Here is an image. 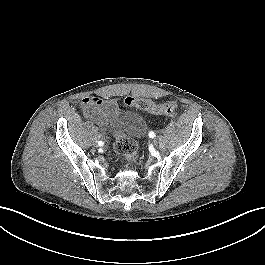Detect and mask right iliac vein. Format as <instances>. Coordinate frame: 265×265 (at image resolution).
<instances>
[{"label": "right iliac vein", "instance_id": "63e3f726", "mask_svg": "<svg viewBox=\"0 0 265 265\" xmlns=\"http://www.w3.org/2000/svg\"><path fill=\"white\" fill-rule=\"evenodd\" d=\"M94 145H95V146H98V143H97V142H95V143H94Z\"/></svg>", "mask_w": 265, "mask_h": 265}]
</instances>
